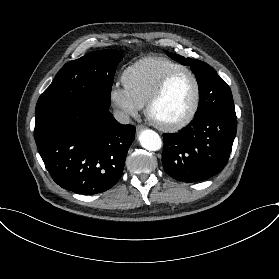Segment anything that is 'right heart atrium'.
I'll return each mask as SVG.
<instances>
[{
    "label": "right heart atrium",
    "mask_w": 279,
    "mask_h": 279,
    "mask_svg": "<svg viewBox=\"0 0 279 279\" xmlns=\"http://www.w3.org/2000/svg\"><path fill=\"white\" fill-rule=\"evenodd\" d=\"M111 103L117 107L124 117H136L146 106L138 94L132 91L125 83L114 84L109 91Z\"/></svg>",
    "instance_id": "obj_1"
}]
</instances>
